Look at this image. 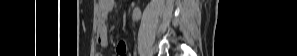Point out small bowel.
<instances>
[{
  "mask_svg": "<svg viewBox=\"0 0 297 56\" xmlns=\"http://www.w3.org/2000/svg\"><path fill=\"white\" fill-rule=\"evenodd\" d=\"M114 0H100L99 10H100V20L98 26V42L102 47L108 45V27H107V16L114 9ZM127 45L124 41L118 43L116 47L117 56H124L126 54Z\"/></svg>",
  "mask_w": 297,
  "mask_h": 56,
  "instance_id": "1",
  "label": "small bowel"
}]
</instances>
